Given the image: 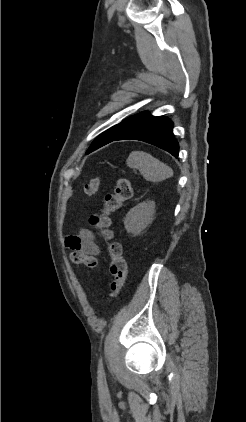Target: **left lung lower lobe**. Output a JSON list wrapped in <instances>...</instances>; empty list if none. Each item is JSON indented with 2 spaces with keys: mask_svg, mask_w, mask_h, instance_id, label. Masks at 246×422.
Returning <instances> with one entry per match:
<instances>
[{
  "mask_svg": "<svg viewBox=\"0 0 246 422\" xmlns=\"http://www.w3.org/2000/svg\"><path fill=\"white\" fill-rule=\"evenodd\" d=\"M172 129L173 123L169 118L164 116L155 117L147 113L120 136L104 143L102 146L117 140H140L155 145L177 158L179 144L173 135Z\"/></svg>",
  "mask_w": 246,
  "mask_h": 422,
  "instance_id": "left-lung-lower-lobe-1",
  "label": "left lung lower lobe"
}]
</instances>
